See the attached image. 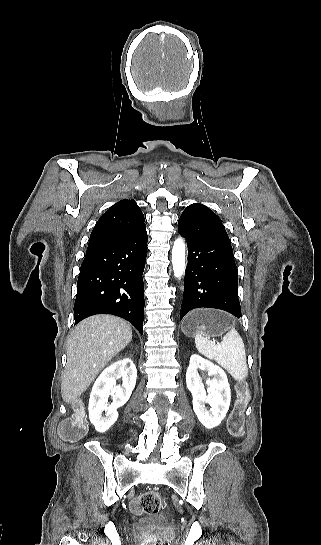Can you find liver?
Listing matches in <instances>:
<instances>
[{"label": "liver", "mask_w": 321, "mask_h": 545, "mask_svg": "<svg viewBox=\"0 0 321 545\" xmlns=\"http://www.w3.org/2000/svg\"><path fill=\"white\" fill-rule=\"evenodd\" d=\"M131 339L130 325L118 317L95 315L79 323L67 343V363L61 383L63 401H77Z\"/></svg>", "instance_id": "6515ba94"}]
</instances>
